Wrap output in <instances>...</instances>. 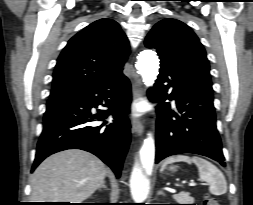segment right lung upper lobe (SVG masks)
<instances>
[{
    "instance_id": "right-lung-upper-lobe-1",
    "label": "right lung upper lobe",
    "mask_w": 253,
    "mask_h": 205,
    "mask_svg": "<svg viewBox=\"0 0 253 205\" xmlns=\"http://www.w3.org/2000/svg\"><path fill=\"white\" fill-rule=\"evenodd\" d=\"M129 41L112 19L97 20L73 36L58 57L50 94L96 87L122 74Z\"/></svg>"
}]
</instances>
